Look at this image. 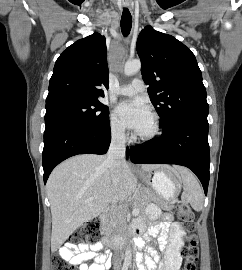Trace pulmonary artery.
<instances>
[{
    "mask_svg": "<svg viewBox=\"0 0 242 270\" xmlns=\"http://www.w3.org/2000/svg\"><path fill=\"white\" fill-rule=\"evenodd\" d=\"M145 88L144 82L142 79L136 78L132 81V83L121 86L117 90V94L119 95H134L137 94L138 92L143 91Z\"/></svg>",
    "mask_w": 242,
    "mask_h": 270,
    "instance_id": "e3ab8cb5",
    "label": "pulmonary artery"
}]
</instances>
